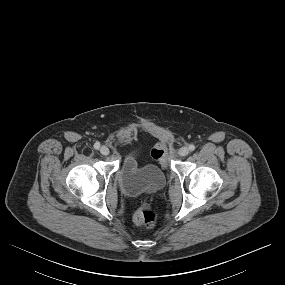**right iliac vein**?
Returning <instances> with one entry per match:
<instances>
[{"instance_id":"63e3f726","label":"right iliac vein","mask_w":285,"mask_h":285,"mask_svg":"<svg viewBox=\"0 0 285 285\" xmlns=\"http://www.w3.org/2000/svg\"><path fill=\"white\" fill-rule=\"evenodd\" d=\"M100 153L104 156L109 155V153H110L109 148L105 145L101 146Z\"/></svg>"}]
</instances>
